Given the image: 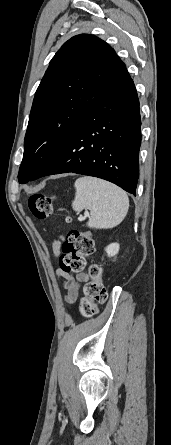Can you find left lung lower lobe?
I'll return each instance as SVG.
<instances>
[{"label":"left lung lower lobe","mask_w":171,"mask_h":445,"mask_svg":"<svg viewBox=\"0 0 171 445\" xmlns=\"http://www.w3.org/2000/svg\"><path fill=\"white\" fill-rule=\"evenodd\" d=\"M140 126L137 91L129 78L78 119L29 180L73 172L105 179L136 195Z\"/></svg>","instance_id":"0a47b994"}]
</instances>
